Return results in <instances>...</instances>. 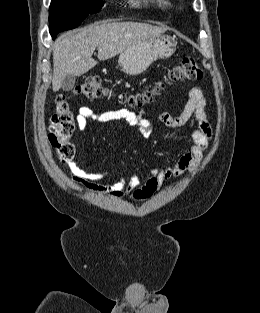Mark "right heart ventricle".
<instances>
[{
  "label": "right heart ventricle",
  "mask_w": 260,
  "mask_h": 313,
  "mask_svg": "<svg viewBox=\"0 0 260 313\" xmlns=\"http://www.w3.org/2000/svg\"><path fill=\"white\" fill-rule=\"evenodd\" d=\"M144 1L153 3L154 5L159 7H167L170 4L168 0H144Z\"/></svg>",
  "instance_id": "1"
}]
</instances>
